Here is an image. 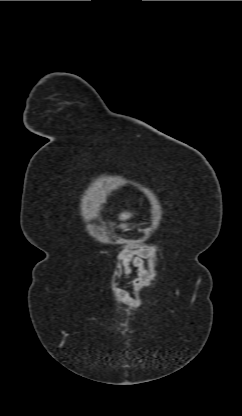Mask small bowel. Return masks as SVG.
Returning a JSON list of instances; mask_svg holds the SVG:
<instances>
[{
    "mask_svg": "<svg viewBox=\"0 0 242 416\" xmlns=\"http://www.w3.org/2000/svg\"><path fill=\"white\" fill-rule=\"evenodd\" d=\"M149 257V253L142 248L129 249L120 256V262L125 274H132L134 269L137 271L132 279V286L135 288L143 287L150 280V273L145 267L144 260ZM121 298L130 304L138 301L122 292Z\"/></svg>",
    "mask_w": 242,
    "mask_h": 416,
    "instance_id": "1",
    "label": "small bowel"
}]
</instances>
